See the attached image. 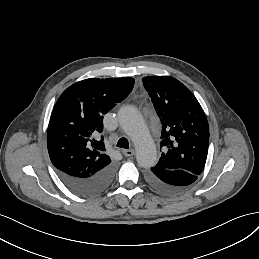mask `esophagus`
<instances>
[{"mask_svg": "<svg viewBox=\"0 0 259 259\" xmlns=\"http://www.w3.org/2000/svg\"><path fill=\"white\" fill-rule=\"evenodd\" d=\"M122 154L126 157L134 156L135 150L134 149L122 150Z\"/></svg>", "mask_w": 259, "mask_h": 259, "instance_id": "esophagus-1", "label": "esophagus"}]
</instances>
